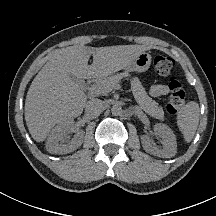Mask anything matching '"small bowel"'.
<instances>
[{
	"label": "small bowel",
	"instance_id": "small-bowel-1",
	"mask_svg": "<svg viewBox=\"0 0 216 216\" xmlns=\"http://www.w3.org/2000/svg\"><path fill=\"white\" fill-rule=\"evenodd\" d=\"M168 91V86L165 84H155L150 88V93L154 97L164 96Z\"/></svg>",
	"mask_w": 216,
	"mask_h": 216
}]
</instances>
